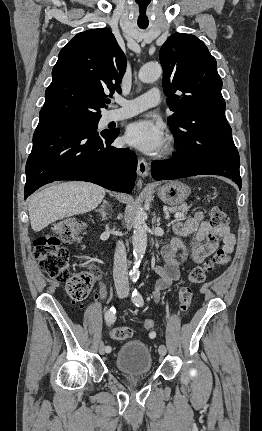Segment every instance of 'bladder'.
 <instances>
[{"instance_id": "31cf9c89", "label": "bladder", "mask_w": 262, "mask_h": 431, "mask_svg": "<svg viewBox=\"0 0 262 431\" xmlns=\"http://www.w3.org/2000/svg\"><path fill=\"white\" fill-rule=\"evenodd\" d=\"M116 367L127 375H143L153 368L152 355L146 341L131 339L123 343L115 357Z\"/></svg>"}]
</instances>
